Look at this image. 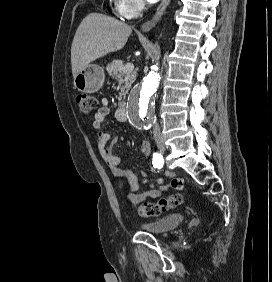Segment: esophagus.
I'll use <instances>...</instances> for the list:
<instances>
[{
  "mask_svg": "<svg viewBox=\"0 0 272 282\" xmlns=\"http://www.w3.org/2000/svg\"><path fill=\"white\" fill-rule=\"evenodd\" d=\"M171 0H162L161 3L159 4L154 16L152 17L151 20L145 22L142 25V30L144 32H148L150 31L155 25L156 23L160 20V18L162 17L165 9L167 8V6L169 5Z\"/></svg>",
  "mask_w": 272,
  "mask_h": 282,
  "instance_id": "obj_1",
  "label": "esophagus"
}]
</instances>
